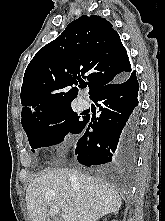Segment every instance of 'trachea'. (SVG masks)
<instances>
[{
	"label": "trachea",
	"instance_id": "trachea-1",
	"mask_svg": "<svg viewBox=\"0 0 165 221\" xmlns=\"http://www.w3.org/2000/svg\"><path fill=\"white\" fill-rule=\"evenodd\" d=\"M84 87H86V85H85V84H83V85H82V88H84Z\"/></svg>",
	"mask_w": 165,
	"mask_h": 221
}]
</instances>
